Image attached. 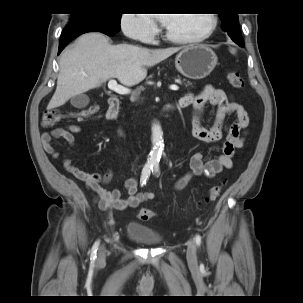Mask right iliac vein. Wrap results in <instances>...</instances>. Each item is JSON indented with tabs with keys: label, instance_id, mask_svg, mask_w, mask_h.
Returning <instances> with one entry per match:
<instances>
[{
	"label": "right iliac vein",
	"instance_id": "1",
	"mask_svg": "<svg viewBox=\"0 0 303 303\" xmlns=\"http://www.w3.org/2000/svg\"><path fill=\"white\" fill-rule=\"evenodd\" d=\"M105 257H106L105 247L102 246L98 254V263H103L105 261Z\"/></svg>",
	"mask_w": 303,
	"mask_h": 303
}]
</instances>
